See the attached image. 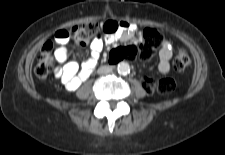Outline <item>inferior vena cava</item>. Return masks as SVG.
<instances>
[{"label": "inferior vena cava", "mask_w": 225, "mask_h": 155, "mask_svg": "<svg viewBox=\"0 0 225 155\" xmlns=\"http://www.w3.org/2000/svg\"><path fill=\"white\" fill-rule=\"evenodd\" d=\"M112 72V67L111 66H101L99 69H98V73L100 74H108V73H111Z\"/></svg>", "instance_id": "602c4592"}]
</instances>
